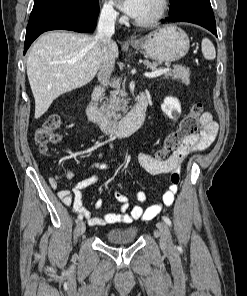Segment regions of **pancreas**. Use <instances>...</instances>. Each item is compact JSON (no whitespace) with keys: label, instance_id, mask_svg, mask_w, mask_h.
I'll return each mask as SVG.
<instances>
[{"label":"pancreas","instance_id":"1","mask_svg":"<svg viewBox=\"0 0 247 296\" xmlns=\"http://www.w3.org/2000/svg\"><path fill=\"white\" fill-rule=\"evenodd\" d=\"M144 64L150 68L152 71L156 70L159 63L144 61ZM171 77L173 80H179L183 84H188L190 82V69L182 65H175L172 71L165 73V78ZM126 93L124 87L117 86L114 91L111 92L109 98L103 104L102 109L109 118L115 121L121 119V111L127 113L128 111V101L125 99Z\"/></svg>","mask_w":247,"mask_h":296}]
</instances>
